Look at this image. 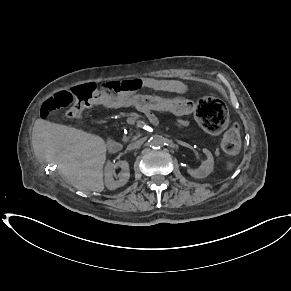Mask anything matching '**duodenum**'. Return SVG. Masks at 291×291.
<instances>
[{
    "label": "duodenum",
    "instance_id": "1",
    "mask_svg": "<svg viewBox=\"0 0 291 291\" xmlns=\"http://www.w3.org/2000/svg\"><path fill=\"white\" fill-rule=\"evenodd\" d=\"M110 140L108 143H107V149L110 151V152H113V153H118L121 148H122V145L119 143V142H116L114 141L115 140V137L114 136H111L110 137Z\"/></svg>",
    "mask_w": 291,
    "mask_h": 291
}]
</instances>
